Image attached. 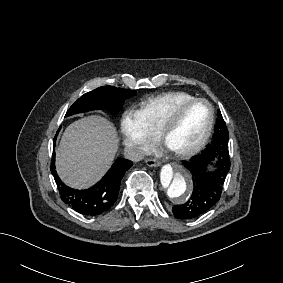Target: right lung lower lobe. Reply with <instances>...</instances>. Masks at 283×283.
<instances>
[{"label":"right lung lower lobe","instance_id":"98d812e1","mask_svg":"<svg viewBox=\"0 0 283 283\" xmlns=\"http://www.w3.org/2000/svg\"><path fill=\"white\" fill-rule=\"evenodd\" d=\"M56 137L57 135L54 138V146ZM54 161L55 151L53 150L50 169L54 175L61 199L77 212L86 216L99 215L114 204L118 198L121 179L133 165L129 160L117 159L112 168L97 184L86 190H75L61 182V179L56 174Z\"/></svg>","mask_w":283,"mask_h":283}]
</instances>
